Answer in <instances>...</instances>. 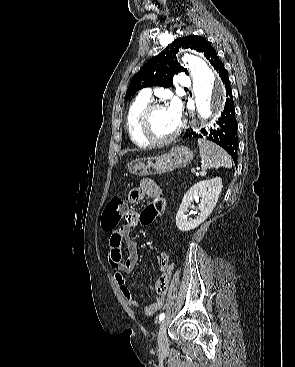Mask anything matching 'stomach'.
<instances>
[{"instance_id":"stomach-1","label":"stomach","mask_w":295,"mask_h":367,"mask_svg":"<svg viewBox=\"0 0 295 367\" xmlns=\"http://www.w3.org/2000/svg\"><path fill=\"white\" fill-rule=\"evenodd\" d=\"M193 157L188 147L175 146L166 154L135 160L128 165V169L138 176L162 174L186 167Z\"/></svg>"}]
</instances>
